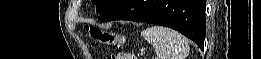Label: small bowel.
Returning <instances> with one entry per match:
<instances>
[{
    "label": "small bowel",
    "instance_id": "obj_1",
    "mask_svg": "<svg viewBox=\"0 0 261 59\" xmlns=\"http://www.w3.org/2000/svg\"><path fill=\"white\" fill-rule=\"evenodd\" d=\"M120 56H122L123 58H119V59H133L134 57H132L131 55H129V54H122V55H120ZM126 57H129V58H126Z\"/></svg>",
    "mask_w": 261,
    "mask_h": 59
}]
</instances>
